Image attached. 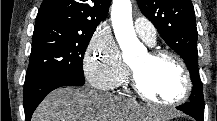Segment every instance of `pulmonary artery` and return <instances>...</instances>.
<instances>
[{
  "instance_id": "pulmonary-artery-1",
  "label": "pulmonary artery",
  "mask_w": 217,
  "mask_h": 121,
  "mask_svg": "<svg viewBox=\"0 0 217 121\" xmlns=\"http://www.w3.org/2000/svg\"><path fill=\"white\" fill-rule=\"evenodd\" d=\"M134 28L138 36L149 44H154L156 29L154 25L143 17H137L134 21Z\"/></svg>"
}]
</instances>
